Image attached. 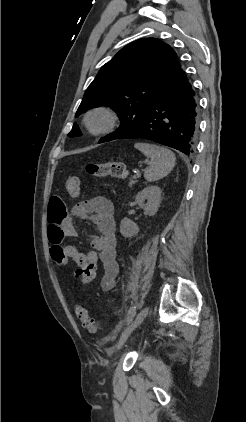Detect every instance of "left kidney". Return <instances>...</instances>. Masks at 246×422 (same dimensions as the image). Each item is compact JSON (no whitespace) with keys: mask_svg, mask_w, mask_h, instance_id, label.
Returning a JSON list of instances; mask_svg holds the SVG:
<instances>
[{"mask_svg":"<svg viewBox=\"0 0 246 422\" xmlns=\"http://www.w3.org/2000/svg\"><path fill=\"white\" fill-rule=\"evenodd\" d=\"M147 200V203H145ZM161 201V189L156 185L145 187L137 193L135 202L148 216H154L158 211ZM120 232L124 237H132L139 233V227L129 218H124L120 223Z\"/></svg>","mask_w":246,"mask_h":422,"instance_id":"obj_1","label":"left kidney"}]
</instances>
